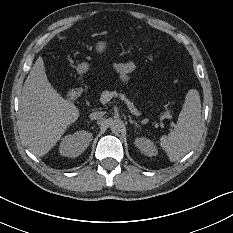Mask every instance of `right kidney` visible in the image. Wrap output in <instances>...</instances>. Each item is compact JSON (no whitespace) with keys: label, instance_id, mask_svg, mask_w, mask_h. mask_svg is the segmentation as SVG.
Returning a JSON list of instances; mask_svg holds the SVG:
<instances>
[{"label":"right kidney","instance_id":"1","mask_svg":"<svg viewBox=\"0 0 233 233\" xmlns=\"http://www.w3.org/2000/svg\"><path fill=\"white\" fill-rule=\"evenodd\" d=\"M93 139V134L88 130H78L73 134L62 137L58 152L63 157L80 156L89 146Z\"/></svg>","mask_w":233,"mask_h":233}]
</instances>
